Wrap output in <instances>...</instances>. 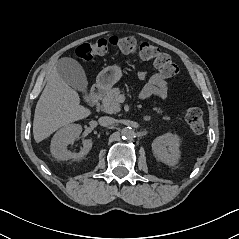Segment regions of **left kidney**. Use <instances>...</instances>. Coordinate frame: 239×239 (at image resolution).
Segmentation results:
<instances>
[{
  "label": "left kidney",
  "instance_id": "obj_1",
  "mask_svg": "<svg viewBox=\"0 0 239 239\" xmlns=\"http://www.w3.org/2000/svg\"><path fill=\"white\" fill-rule=\"evenodd\" d=\"M180 139L176 134L166 133L155 138L152 150L155 157L169 166H175L180 158Z\"/></svg>",
  "mask_w": 239,
  "mask_h": 239
}]
</instances>
